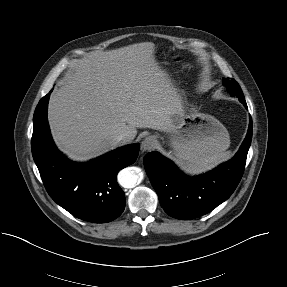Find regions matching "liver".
<instances>
[{
  "label": "liver",
  "instance_id": "obj_1",
  "mask_svg": "<svg viewBox=\"0 0 287 287\" xmlns=\"http://www.w3.org/2000/svg\"><path fill=\"white\" fill-rule=\"evenodd\" d=\"M142 42L75 60L50 96L48 120L54 141L76 161L97 157L137 128L170 132L184 114L182 94Z\"/></svg>",
  "mask_w": 287,
  "mask_h": 287
}]
</instances>
